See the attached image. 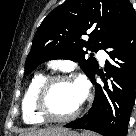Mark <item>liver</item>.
I'll use <instances>...</instances> for the list:
<instances>
[{"instance_id":"obj_1","label":"liver","mask_w":136,"mask_h":136,"mask_svg":"<svg viewBox=\"0 0 136 136\" xmlns=\"http://www.w3.org/2000/svg\"><path fill=\"white\" fill-rule=\"evenodd\" d=\"M67 129L57 127V128H47V129H31L21 134V136H55L56 134L66 131Z\"/></svg>"}]
</instances>
